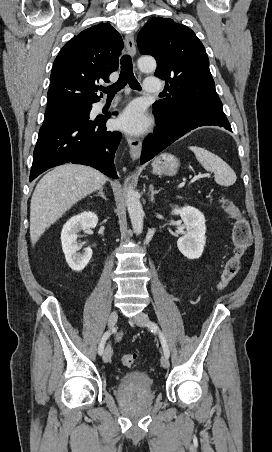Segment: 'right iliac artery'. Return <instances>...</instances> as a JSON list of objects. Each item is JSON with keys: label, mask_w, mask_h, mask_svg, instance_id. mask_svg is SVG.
<instances>
[{"label": "right iliac artery", "mask_w": 272, "mask_h": 452, "mask_svg": "<svg viewBox=\"0 0 272 452\" xmlns=\"http://www.w3.org/2000/svg\"><path fill=\"white\" fill-rule=\"evenodd\" d=\"M110 335H111V332H110V331H106V332L104 333V335L102 336V339H101V341H100V343H99V347H98V353H99V355H102V354H103L105 342H106V340L109 338Z\"/></svg>", "instance_id": "obj_1"}]
</instances>
